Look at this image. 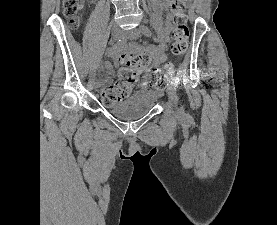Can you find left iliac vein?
Returning a JSON list of instances; mask_svg holds the SVG:
<instances>
[{
	"instance_id": "left-iliac-vein-1",
	"label": "left iliac vein",
	"mask_w": 277,
	"mask_h": 225,
	"mask_svg": "<svg viewBox=\"0 0 277 225\" xmlns=\"http://www.w3.org/2000/svg\"><path fill=\"white\" fill-rule=\"evenodd\" d=\"M142 31L140 29H132L124 32V38L134 40L141 36ZM167 93L171 101L174 105L177 104L178 96H177V84L174 81H171L167 88Z\"/></svg>"
}]
</instances>
